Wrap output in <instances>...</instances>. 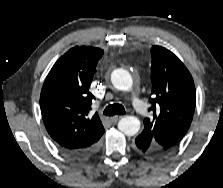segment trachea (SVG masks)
Returning <instances> with one entry per match:
<instances>
[{"label":"trachea","mask_w":223,"mask_h":188,"mask_svg":"<svg viewBox=\"0 0 223 188\" xmlns=\"http://www.w3.org/2000/svg\"><path fill=\"white\" fill-rule=\"evenodd\" d=\"M125 113L124 106L119 103L108 105L103 112V114L107 116L124 115Z\"/></svg>","instance_id":"obj_1"}]
</instances>
